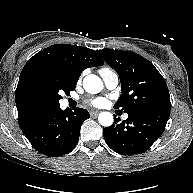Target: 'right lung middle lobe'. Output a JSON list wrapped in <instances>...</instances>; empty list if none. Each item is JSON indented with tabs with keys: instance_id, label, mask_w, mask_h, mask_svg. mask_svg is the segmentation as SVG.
<instances>
[{
	"instance_id": "obj_1",
	"label": "right lung middle lobe",
	"mask_w": 193,
	"mask_h": 193,
	"mask_svg": "<svg viewBox=\"0 0 193 193\" xmlns=\"http://www.w3.org/2000/svg\"><path fill=\"white\" fill-rule=\"evenodd\" d=\"M77 82L67 79L56 72H42L35 75L30 83V95L43 103L59 105L60 95L65 92L67 95L74 90Z\"/></svg>"
}]
</instances>
